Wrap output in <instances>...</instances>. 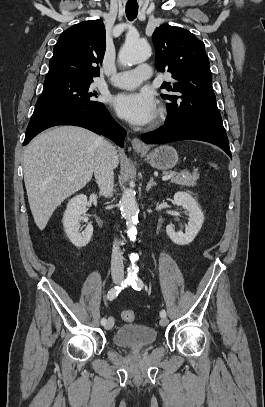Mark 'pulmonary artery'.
<instances>
[{
    "instance_id": "pulmonary-artery-1",
    "label": "pulmonary artery",
    "mask_w": 265,
    "mask_h": 407,
    "mask_svg": "<svg viewBox=\"0 0 265 407\" xmlns=\"http://www.w3.org/2000/svg\"><path fill=\"white\" fill-rule=\"evenodd\" d=\"M152 69L149 65H142L133 70L117 73L109 82L119 88L131 89L139 86L143 81L151 78Z\"/></svg>"
}]
</instances>
